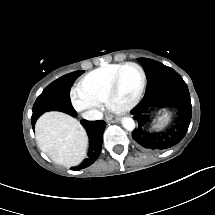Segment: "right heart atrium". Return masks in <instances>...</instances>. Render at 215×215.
Instances as JSON below:
<instances>
[{"label":"right heart atrium","mask_w":215,"mask_h":215,"mask_svg":"<svg viewBox=\"0 0 215 215\" xmlns=\"http://www.w3.org/2000/svg\"><path fill=\"white\" fill-rule=\"evenodd\" d=\"M72 104L76 111L81 114L84 118H95L98 112L93 108L92 104L82 95L74 92L72 94Z\"/></svg>","instance_id":"obj_1"}]
</instances>
